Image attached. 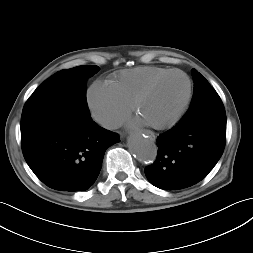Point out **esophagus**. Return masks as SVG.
Masks as SVG:
<instances>
[{
	"mask_svg": "<svg viewBox=\"0 0 253 253\" xmlns=\"http://www.w3.org/2000/svg\"><path fill=\"white\" fill-rule=\"evenodd\" d=\"M145 133L148 135L150 139L155 140V136L152 133L150 132H145Z\"/></svg>",
	"mask_w": 253,
	"mask_h": 253,
	"instance_id": "esophagus-1",
	"label": "esophagus"
}]
</instances>
